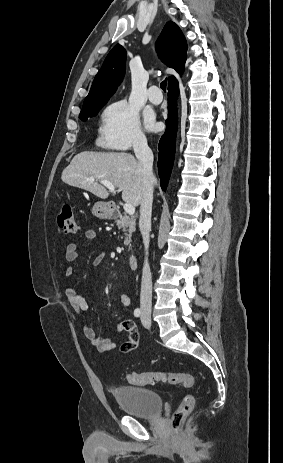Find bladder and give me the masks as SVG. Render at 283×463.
<instances>
[{
    "label": "bladder",
    "mask_w": 283,
    "mask_h": 463,
    "mask_svg": "<svg viewBox=\"0 0 283 463\" xmlns=\"http://www.w3.org/2000/svg\"><path fill=\"white\" fill-rule=\"evenodd\" d=\"M113 396L125 413L137 418L154 419L162 412L160 395L150 389L123 386L116 388Z\"/></svg>",
    "instance_id": "31cf9c89"
}]
</instances>
